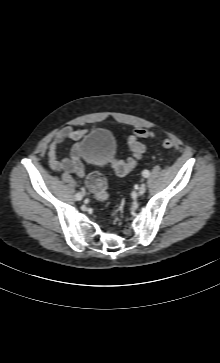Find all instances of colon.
<instances>
[{
    "label": "colon",
    "mask_w": 220,
    "mask_h": 363,
    "mask_svg": "<svg viewBox=\"0 0 220 363\" xmlns=\"http://www.w3.org/2000/svg\"><path fill=\"white\" fill-rule=\"evenodd\" d=\"M152 136L153 134L144 128H138L133 131L128 138L131 156L127 161H111L112 168L119 176H126L137 167L139 161L144 157L146 152V146L141 139L151 138ZM161 145L168 150H173L176 148V141L171 138H166L161 141ZM86 184L96 200L105 201L107 199V182L99 171L90 173L86 179Z\"/></svg>",
    "instance_id": "5ec220e1"
}]
</instances>
